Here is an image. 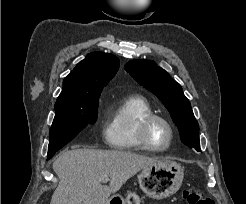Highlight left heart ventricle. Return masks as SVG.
<instances>
[{"instance_id": "b2bd125f", "label": "left heart ventricle", "mask_w": 246, "mask_h": 204, "mask_svg": "<svg viewBox=\"0 0 246 204\" xmlns=\"http://www.w3.org/2000/svg\"><path fill=\"white\" fill-rule=\"evenodd\" d=\"M149 138L154 146L163 147L169 140V131L163 123L157 121L151 127Z\"/></svg>"}]
</instances>
